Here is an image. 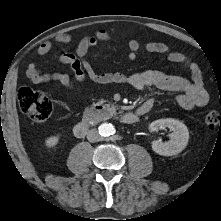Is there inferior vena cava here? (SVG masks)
Here are the masks:
<instances>
[{
    "mask_svg": "<svg viewBox=\"0 0 221 221\" xmlns=\"http://www.w3.org/2000/svg\"><path fill=\"white\" fill-rule=\"evenodd\" d=\"M87 139H88V141H90V142H98V141H100V135H99V133H98V131H97V129H90L89 131H88V133H87Z\"/></svg>",
    "mask_w": 221,
    "mask_h": 221,
    "instance_id": "inferior-vena-cava-1",
    "label": "inferior vena cava"
}]
</instances>
